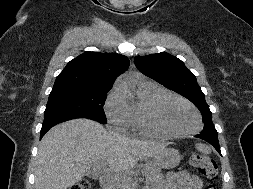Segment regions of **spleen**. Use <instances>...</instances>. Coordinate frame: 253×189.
<instances>
[{
    "mask_svg": "<svg viewBox=\"0 0 253 189\" xmlns=\"http://www.w3.org/2000/svg\"><path fill=\"white\" fill-rule=\"evenodd\" d=\"M196 149L199 152H202L204 154H210L211 153V148L206 144H202V143L196 144Z\"/></svg>",
    "mask_w": 253,
    "mask_h": 189,
    "instance_id": "3e777b00",
    "label": "spleen"
}]
</instances>
